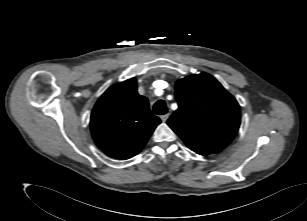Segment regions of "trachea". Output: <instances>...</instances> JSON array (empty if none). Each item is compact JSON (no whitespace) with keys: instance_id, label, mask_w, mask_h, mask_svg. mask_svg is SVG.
I'll list each match as a JSON object with an SVG mask.
<instances>
[{"instance_id":"1","label":"trachea","mask_w":307,"mask_h":221,"mask_svg":"<svg viewBox=\"0 0 307 221\" xmlns=\"http://www.w3.org/2000/svg\"><path fill=\"white\" fill-rule=\"evenodd\" d=\"M153 111L157 115H164L167 113V106L163 100L157 101L153 106Z\"/></svg>"}]
</instances>
